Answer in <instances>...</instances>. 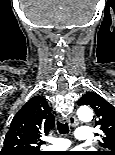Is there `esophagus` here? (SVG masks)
I'll return each mask as SVG.
<instances>
[{"mask_svg":"<svg viewBox=\"0 0 115 155\" xmlns=\"http://www.w3.org/2000/svg\"><path fill=\"white\" fill-rule=\"evenodd\" d=\"M77 116L75 113H72L69 117H68V122L71 126H74L77 124Z\"/></svg>","mask_w":115,"mask_h":155,"instance_id":"34e87169","label":"esophagus"}]
</instances>
